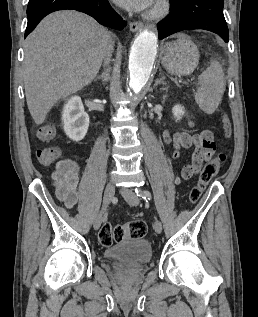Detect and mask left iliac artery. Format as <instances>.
<instances>
[{
  "label": "left iliac artery",
  "mask_w": 258,
  "mask_h": 317,
  "mask_svg": "<svg viewBox=\"0 0 258 317\" xmlns=\"http://www.w3.org/2000/svg\"><path fill=\"white\" fill-rule=\"evenodd\" d=\"M136 195L142 199H145V200H152V194L150 193L149 190H141L139 187H136L134 189Z\"/></svg>",
  "instance_id": "left-iliac-artery-1"
}]
</instances>
